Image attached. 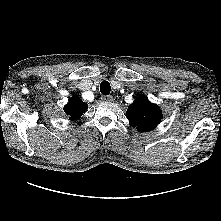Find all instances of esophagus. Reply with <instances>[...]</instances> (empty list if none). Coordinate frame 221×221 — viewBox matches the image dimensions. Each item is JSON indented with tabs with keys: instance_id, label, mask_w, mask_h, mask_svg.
<instances>
[{
	"instance_id": "obj_1",
	"label": "esophagus",
	"mask_w": 221,
	"mask_h": 221,
	"mask_svg": "<svg viewBox=\"0 0 221 221\" xmlns=\"http://www.w3.org/2000/svg\"><path fill=\"white\" fill-rule=\"evenodd\" d=\"M101 99L105 102H112L113 101V97L111 95H103L101 97Z\"/></svg>"
}]
</instances>
